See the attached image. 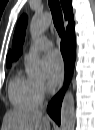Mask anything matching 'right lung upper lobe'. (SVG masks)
I'll return each instance as SVG.
<instances>
[{"label":"right lung upper lobe","mask_w":95,"mask_h":130,"mask_svg":"<svg viewBox=\"0 0 95 130\" xmlns=\"http://www.w3.org/2000/svg\"><path fill=\"white\" fill-rule=\"evenodd\" d=\"M61 4L65 13V19L69 20V25L67 27V30L74 28V21H73V15H72V5L71 0H61ZM12 60L11 52L8 53L7 56V66L10 65V62Z\"/></svg>","instance_id":"cb5924a9"}]
</instances>
